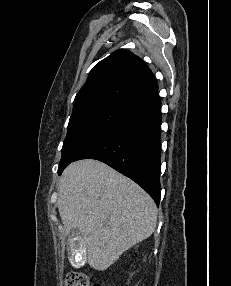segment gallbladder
I'll return each instance as SVG.
<instances>
[{
  "label": "gallbladder",
  "mask_w": 231,
  "mask_h": 286,
  "mask_svg": "<svg viewBox=\"0 0 231 286\" xmlns=\"http://www.w3.org/2000/svg\"><path fill=\"white\" fill-rule=\"evenodd\" d=\"M73 230L77 229L76 225L72 226ZM77 235V234H72ZM73 238H69L67 240V256L69 263L75 268L83 267L87 263V249L85 247V240H82V236H70Z\"/></svg>",
  "instance_id": "obj_1"
}]
</instances>
